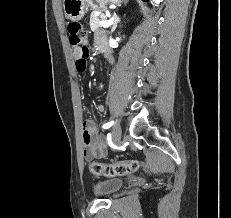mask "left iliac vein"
<instances>
[{
  "label": "left iliac vein",
  "instance_id": "left-iliac-vein-1",
  "mask_svg": "<svg viewBox=\"0 0 231 218\" xmlns=\"http://www.w3.org/2000/svg\"><path fill=\"white\" fill-rule=\"evenodd\" d=\"M121 135H122V129H121L120 123H117L112 128V138H113L115 144L120 145Z\"/></svg>",
  "mask_w": 231,
  "mask_h": 218
}]
</instances>
